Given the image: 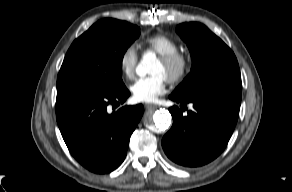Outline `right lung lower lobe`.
<instances>
[{
	"label": "right lung lower lobe",
	"mask_w": 292,
	"mask_h": 192,
	"mask_svg": "<svg viewBox=\"0 0 292 192\" xmlns=\"http://www.w3.org/2000/svg\"><path fill=\"white\" fill-rule=\"evenodd\" d=\"M130 92L124 87L105 91L90 84H57L56 118L73 157L95 173H109L125 159L130 136L143 115V106H123Z\"/></svg>",
	"instance_id": "98d812e1"
}]
</instances>
